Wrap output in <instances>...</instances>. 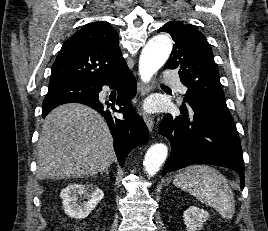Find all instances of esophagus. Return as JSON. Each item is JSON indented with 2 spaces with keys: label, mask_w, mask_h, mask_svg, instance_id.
I'll list each match as a JSON object with an SVG mask.
<instances>
[{
  "label": "esophagus",
  "mask_w": 268,
  "mask_h": 231,
  "mask_svg": "<svg viewBox=\"0 0 268 231\" xmlns=\"http://www.w3.org/2000/svg\"><path fill=\"white\" fill-rule=\"evenodd\" d=\"M138 90H139L140 96L142 98H144L145 95L150 92V87L145 86L142 83L138 82ZM144 120H145V123H146V126H147L149 132H152L154 129V123H155L154 118L148 114H145Z\"/></svg>",
  "instance_id": "esophagus-1"
}]
</instances>
